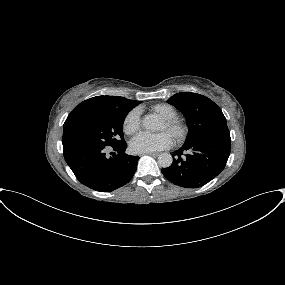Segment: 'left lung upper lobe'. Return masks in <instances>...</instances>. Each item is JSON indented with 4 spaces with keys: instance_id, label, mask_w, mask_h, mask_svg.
Wrapping results in <instances>:
<instances>
[{
    "instance_id": "1",
    "label": "left lung upper lobe",
    "mask_w": 285,
    "mask_h": 285,
    "mask_svg": "<svg viewBox=\"0 0 285 285\" xmlns=\"http://www.w3.org/2000/svg\"><path fill=\"white\" fill-rule=\"evenodd\" d=\"M167 102L178 108L187 119L186 142L205 135L230 137L225 116L209 98L197 93L180 92Z\"/></svg>"
}]
</instances>
